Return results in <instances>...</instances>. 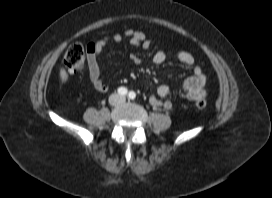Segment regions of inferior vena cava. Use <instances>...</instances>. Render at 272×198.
<instances>
[{
    "label": "inferior vena cava",
    "mask_w": 272,
    "mask_h": 198,
    "mask_svg": "<svg viewBox=\"0 0 272 198\" xmlns=\"http://www.w3.org/2000/svg\"><path fill=\"white\" fill-rule=\"evenodd\" d=\"M114 100L116 102H113ZM123 101H124V97H122L121 95H118V94H114L110 98V103L111 104H117V103H120V102H123Z\"/></svg>",
    "instance_id": "obj_1"
}]
</instances>
